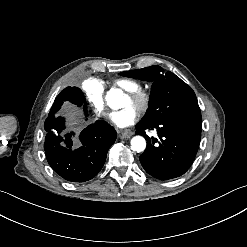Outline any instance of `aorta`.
Here are the masks:
<instances>
[{
    "mask_svg": "<svg viewBox=\"0 0 247 247\" xmlns=\"http://www.w3.org/2000/svg\"><path fill=\"white\" fill-rule=\"evenodd\" d=\"M122 99V92L118 89H111L107 92V105L112 109H118ZM146 148V140L142 136H135L131 139V149L142 152Z\"/></svg>",
    "mask_w": 247,
    "mask_h": 247,
    "instance_id": "762f6f07",
    "label": "aorta"
}]
</instances>
